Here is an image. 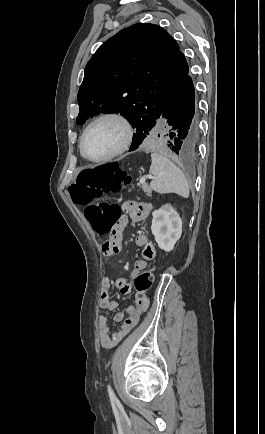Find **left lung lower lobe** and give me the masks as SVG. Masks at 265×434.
I'll return each mask as SVG.
<instances>
[{
	"mask_svg": "<svg viewBox=\"0 0 265 434\" xmlns=\"http://www.w3.org/2000/svg\"><path fill=\"white\" fill-rule=\"evenodd\" d=\"M167 124L168 147L176 154L191 155L199 141V119L195 109V90L188 72L182 84L170 98L160 118ZM148 129L137 130L130 151L136 150L148 135Z\"/></svg>",
	"mask_w": 265,
	"mask_h": 434,
	"instance_id": "left-lung-lower-lobe-1",
	"label": "left lung lower lobe"
}]
</instances>
